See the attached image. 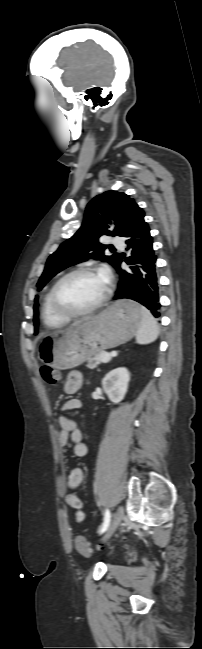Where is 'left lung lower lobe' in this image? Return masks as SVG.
<instances>
[{"mask_svg":"<svg viewBox=\"0 0 202 649\" xmlns=\"http://www.w3.org/2000/svg\"><path fill=\"white\" fill-rule=\"evenodd\" d=\"M122 237L126 238L127 250H131L132 255L125 259L129 265L128 269L123 270L120 267L122 256H119L113 265L120 278L113 299L135 300L151 310L155 317H159L157 258L144 216L137 218Z\"/></svg>","mask_w":202,"mask_h":649,"instance_id":"1","label":"left lung lower lobe"}]
</instances>
